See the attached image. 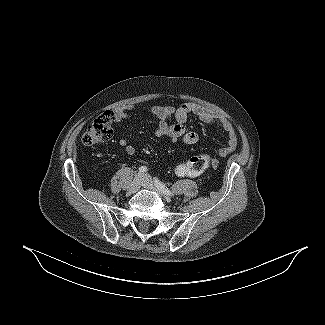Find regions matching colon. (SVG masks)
Here are the masks:
<instances>
[{
	"label": "colon",
	"mask_w": 325,
	"mask_h": 325,
	"mask_svg": "<svg viewBox=\"0 0 325 325\" xmlns=\"http://www.w3.org/2000/svg\"><path fill=\"white\" fill-rule=\"evenodd\" d=\"M114 116L105 112L98 116L83 134L82 142L86 146H92L108 141L113 136ZM211 163L208 155L194 156L188 162H183L175 167L176 174L180 176L198 175L202 173Z\"/></svg>",
	"instance_id": "5ec220e1"
}]
</instances>
